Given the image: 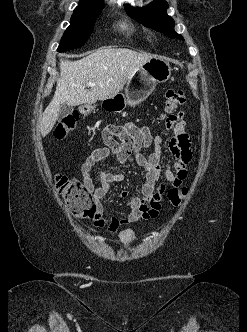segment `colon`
Returning <instances> with one entry per match:
<instances>
[{
	"instance_id": "obj_1",
	"label": "colon",
	"mask_w": 247,
	"mask_h": 332,
	"mask_svg": "<svg viewBox=\"0 0 247 332\" xmlns=\"http://www.w3.org/2000/svg\"><path fill=\"white\" fill-rule=\"evenodd\" d=\"M186 101L185 94L180 89H168L165 92V111L168 114L166 121L168 126H173L177 120V115L174 113ZM92 112V107L84 105L80 107L79 111L65 116L55 127L53 131V138L55 141H62L66 139L71 132H73L79 123L80 115H89ZM56 187L60 195L65 200L71 212L81 218H92L96 216V205L93 203L90 194L85 186L77 179L67 176L59 175L56 177ZM187 189H169L167 192L168 202L177 206Z\"/></svg>"
}]
</instances>
